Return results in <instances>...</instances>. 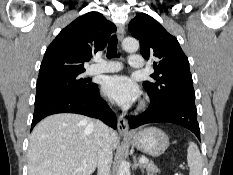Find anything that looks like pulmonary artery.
I'll list each match as a JSON object with an SVG mask.
<instances>
[{"label":"pulmonary artery","instance_id":"e3ab8cb5","mask_svg":"<svg viewBox=\"0 0 233 175\" xmlns=\"http://www.w3.org/2000/svg\"><path fill=\"white\" fill-rule=\"evenodd\" d=\"M128 64L133 69H140L143 68L144 62L141 55L134 54L131 55L128 59ZM121 63L118 61H107L98 59L96 64H93L89 67L87 70V73L89 75H95L100 73H106V72H116L121 69Z\"/></svg>","mask_w":233,"mask_h":175}]
</instances>
